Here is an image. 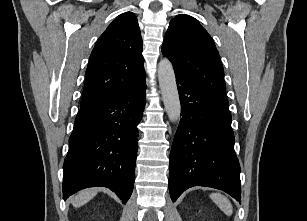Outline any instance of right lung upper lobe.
Wrapping results in <instances>:
<instances>
[{
	"instance_id": "cb5924a9",
	"label": "right lung upper lobe",
	"mask_w": 307,
	"mask_h": 221,
	"mask_svg": "<svg viewBox=\"0 0 307 221\" xmlns=\"http://www.w3.org/2000/svg\"><path fill=\"white\" fill-rule=\"evenodd\" d=\"M143 63L137 18L134 13L125 12L96 42L85 73L80 108L139 85L145 80Z\"/></svg>"
}]
</instances>
